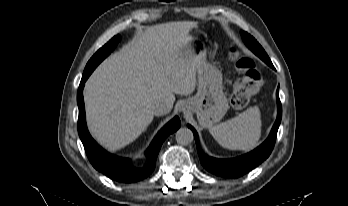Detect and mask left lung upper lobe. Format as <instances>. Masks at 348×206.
Listing matches in <instances>:
<instances>
[{
	"label": "left lung upper lobe",
	"mask_w": 348,
	"mask_h": 206,
	"mask_svg": "<svg viewBox=\"0 0 348 206\" xmlns=\"http://www.w3.org/2000/svg\"><path fill=\"white\" fill-rule=\"evenodd\" d=\"M242 38L246 45L254 51L265 63H267L269 66L273 67V64L270 60V58L267 56L264 49L260 46V44L247 32H242ZM274 68V67H273Z\"/></svg>",
	"instance_id": "obj_1"
}]
</instances>
